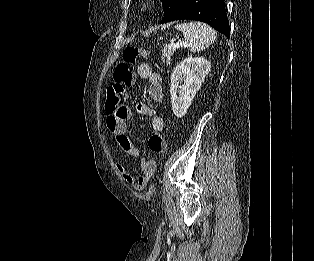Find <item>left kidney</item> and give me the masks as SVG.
Returning a JSON list of instances; mask_svg holds the SVG:
<instances>
[{"instance_id": "5707ae66", "label": "left kidney", "mask_w": 314, "mask_h": 261, "mask_svg": "<svg viewBox=\"0 0 314 261\" xmlns=\"http://www.w3.org/2000/svg\"><path fill=\"white\" fill-rule=\"evenodd\" d=\"M211 64L204 57H188L176 66L171 75V103L176 117H183L200 89Z\"/></svg>"}]
</instances>
